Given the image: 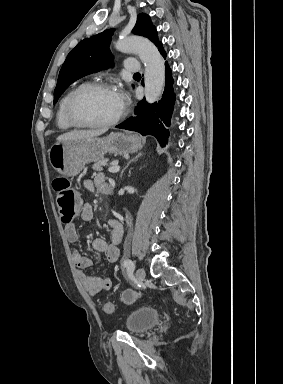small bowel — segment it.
Returning <instances> with one entry per match:
<instances>
[{
  "mask_svg": "<svg viewBox=\"0 0 283 384\" xmlns=\"http://www.w3.org/2000/svg\"><path fill=\"white\" fill-rule=\"evenodd\" d=\"M85 187L89 191L106 192L108 185L103 174L95 175L92 179L85 181ZM94 212L91 204L85 203L80 210V216L83 221H90L93 218ZM111 230L110 241L107 242L102 238H95L92 241V248L95 252L104 255L109 263H114L119 258V244L124 235V228L121 222L117 219H111L108 222ZM65 236L70 243H77L80 240L79 233L73 223H69L64 228ZM74 265L78 268V277L83 288L92 296L99 294L102 291L110 290L112 287V278L107 275L103 278L87 275L84 270L93 265L92 258L81 254L78 250L72 253Z\"/></svg>",
  "mask_w": 283,
  "mask_h": 384,
  "instance_id": "obj_1",
  "label": "small bowel"
}]
</instances>
